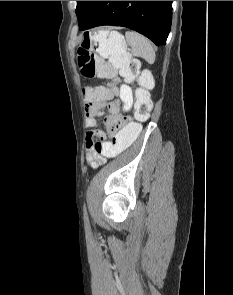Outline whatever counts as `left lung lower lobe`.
<instances>
[{
  "label": "left lung lower lobe",
  "instance_id": "left-lung-lower-lobe-1",
  "mask_svg": "<svg viewBox=\"0 0 233 295\" xmlns=\"http://www.w3.org/2000/svg\"><path fill=\"white\" fill-rule=\"evenodd\" d=\"M171 21L172 1H98L80 30L100 25L128 27L159 46L166 43Z\"/></svg>",
  "mask_w": 233,
  "mask_h": 295
}]
</instances>
